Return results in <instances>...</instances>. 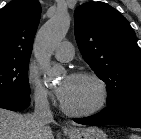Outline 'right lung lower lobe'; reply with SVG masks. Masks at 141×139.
Segmentation results:
<instances>
[{
	"mask_svg": "<svg viewBox=\"0 0 141 139\" xmlns=\"http://www.w3.org/2000/svg\"><path fill=\"white\" fill-rule=\"evenodd\" d=\"M30 104L29 95L2 96L0 97V108L19 111L27 108Z\"/></svg>",
	"mask_w": 141,
	"mask_h": 139,
	"instance_id": "right-lung-lower-lobe-1",
	"label": "right lung lower lobe"
}]
</instances>
